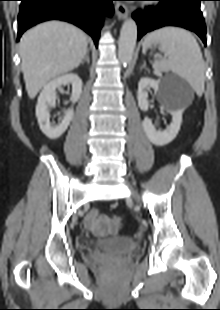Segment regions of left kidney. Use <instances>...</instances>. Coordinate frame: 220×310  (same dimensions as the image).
<instances>
[{
    "label": "left kidney",
    "mask_w": 220,
    "mask_h": 310,
    "mask_svg": "<svg viewBox=\"0 0 220 310\" xmlns=\"http://www.w3.org/2000/svg\"><path fill=\"white\" fill-rule=\"evenodd\" d=\"M152 88L161 98H165L168 95L169 88L166 87L160 80H154L151 78H141L138 84V106L142 111H148L149 101L147 89ZM167 111L172 116V122L164 131H157L152 121L145 117L142 122L143 129L150 140L156 146H164L170 143L178 134L182 122V114L184 108L174 107L173 104H166Z\"/></svg>",
    "instance_id": "5707ae66"
}]
</instances>
